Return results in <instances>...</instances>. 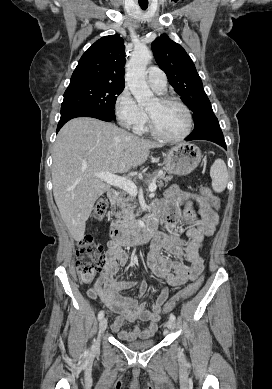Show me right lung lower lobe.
Returning a JSON list of instances; mask_svg holds the SVG:
<instances>
[{
  "label": "right lung lower lobe",
  "instance_id": "right-lung-lower-lobe-1",
  "mask_svg": "<svg viewBox=\"0 0 272 389\" xmlns=\"http://www.w3.org/2000/svg\"><path fill=\"white\" fill-rule=\"evenodd\" d=\"M76 117H93L107 122L115 120L112 117H109L97 110L88 107H83V106L61 107V118L57 126V132L67 121Z\"/></svg>",
  "mask_w": 272,
  "mask_h": 389
}]
</instances>
